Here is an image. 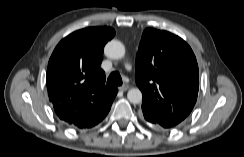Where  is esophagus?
Masks as SVG:
<instances>
[{"label":"esophagus","mask_w":244,"mask_h":157,"mask_svg":"<svg viewBox=\"0 0 244 157\" xmlns=\"http://www.w3.org/2000/svg\"><path fill=\"white\" fill-rule=\"evenodd\" d=\"M129 89V85L125 84L119 87L120 91H127Z\"/></svg>","instance_id":"esophagus-1"}]
</instances>
